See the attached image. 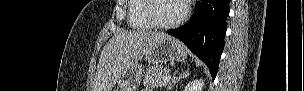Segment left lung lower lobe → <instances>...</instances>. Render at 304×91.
<instances>
[{
  "label": "left lung lower lobe",
  "instance_id": "obj_1",
  "mask_svg": "<svg viewBox=\"0 0 304 91\" xmlns=\"http://www.w3.org/2000/svg\"><path fill=\"white\" fill-rule=\"evenodd\" d=\"M230 0H200L191 19L182 27L168 30L181 40L208 66L213 80L216 77L224 49L226 18Z\"/></svg>",
  "mask_w": 304,
  "mask_h": 91
}]
</instances>
